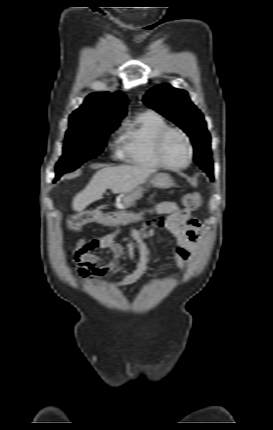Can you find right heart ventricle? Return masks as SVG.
<instances>
[{
    "label": "right heart ventricle",
    "mask_w": 273,
    "mask_h": 430,
    "mask_svg": "<svg viewBox=\"0 0 273 430\" xmlns=\"http://www.w3.org/2000/svg\"><path fill=\"white\" fill-rule=\"evenodd\" d=\"M167 127V121L154 111L142 112L128 122L122 135V155L126 162L150 169L163 167L155 154V141Z\"/></svg>",
    "instance_id": "right-heart-ventricle-1"
}]
</instances>
